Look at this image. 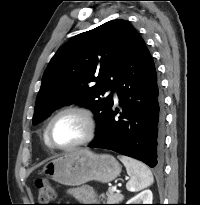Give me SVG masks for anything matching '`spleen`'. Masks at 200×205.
<instances>
[{
  "label": "spleen",
  "mask_w": 200,
  "mask_h": 205,
  "mask_svg": "<svg viewBox=\"0 0 200 205\" xmlns=\"http://www.w3.org/2000/svg\"><path fill=\"white\" fill-rule=\"evenodd\" d=\"M118 159L126 167L130 180L126 184V188L130 192L140 191L154 182L151 170L142 162L127 156H118Z\"/></svg>",
  "instance_id": "3e777b00"
}]
</instances>
